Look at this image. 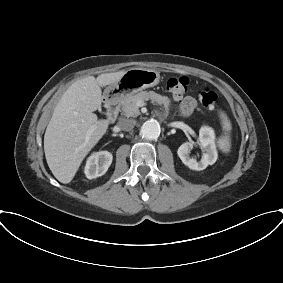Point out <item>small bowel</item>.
I'll return each mask as SVG.
<instances>
[{
    "instance_id": "small-bowel-1",
    "label": "small bowel",
    "mask_w": 283,
    "mask_h": 283,
    "mask_svg": "<svg viewBox=\"0 0 283 283\" xmlns=\"http://www.w3.org/2000/svg\"><path fill=\"white\" fill-rule=\"evenodd\" d=\"M174 99L179 102L180 111L183 115L191 114L197 106V102L192 96L174 97Z\"/></svg>"
}]
</instances>
